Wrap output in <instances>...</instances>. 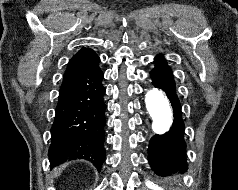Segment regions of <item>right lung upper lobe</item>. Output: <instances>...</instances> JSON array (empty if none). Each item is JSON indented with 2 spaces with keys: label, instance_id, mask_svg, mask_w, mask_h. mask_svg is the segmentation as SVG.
Listing matches in <instances>:
<instances>
[{
  "label": "right lung upper lobe",
  "instance_id": "right-lung-upper-lobe-1",
  "mask_svg": "<svg viewBox=\"0 0 238 190\" xmlns=\"http://www.w3.org/2000/svg\"><path fill=\"white\" fill-rule=\"evenodd\" d=\"M98 58L99 57L96 55V53L92 49L83 47L69 61L63 78L81 71L88 64H90L92 61Z\"/></svg>",
  "mask_w": 238,
  "mask_h": 190
}]
</instances>
